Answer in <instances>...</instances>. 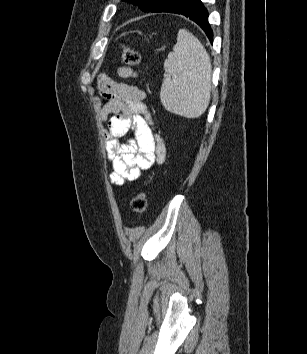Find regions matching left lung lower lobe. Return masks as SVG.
Wrapping results in <instances>:
<instances>
[{
  "mask_svg": "<svg viewBox=\"0 0 307 354\" xmlns=\"http://www.w3.org/2000/svg\"><path fill=\"white\" fill-rule=\"evenodd\" d=\"M157 12L181 14L198 24L213 43V31L208 22V11L200 0H169Z\"/></svg>",
  "mask_w": 307,
  "mask_h": 354,
  "instance_id": "0a47b994",
  "label": "left lung lower lobe"
}]
</instances>
